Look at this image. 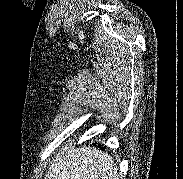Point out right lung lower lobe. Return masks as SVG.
<instances>
[{
    "label": "right lung lower lobe",
    "instance_id": "98d812e1",
    "mask_svg": "<svg viewBox=\"0 0 183 179\" xmlns=\"http://www.w3.org/2000/svg\"><path fill=\"white\" fill-rule=\"evenodd\" d=\"M98 146H99L101 149H103V148L101 147V145H100V144H99Z\"/></svg>",
    "mask_w": 183,
    "mask_h": 179
}]
</instances>
